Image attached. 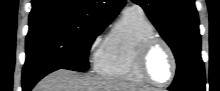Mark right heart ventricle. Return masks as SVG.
Segmentation results:
<instances>
[{"mask_svg":"<svg viewBox=\"0 0 220 91\" xmlns=\"http://www.w3.org/2000/svg\"><path fill=\"white\" fill-rule=\"evenodd\" d=\"M154 36L155 28L143 11H124L96 55V71L102 76L130 84H146L138 74L136 55L139 46Z\"/></svg>","mask_w":220,"mask_h":91,"instance_id":"obj_1","label":"right heart ventricle"}]
</instances>
